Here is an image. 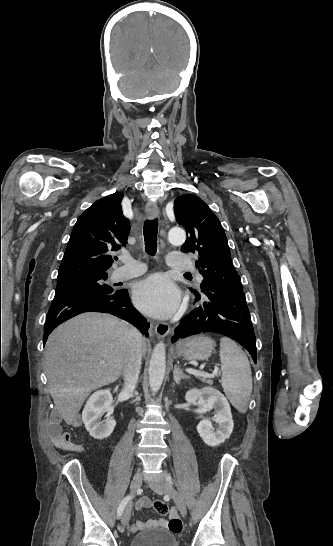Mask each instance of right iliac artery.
I'll list each match as a JSON object with an SVG mask.
<instances>
[{
	"instance_id": "1",
	"label": "right iliac artery",
	"mask_w": 333,
	"mask_h": 546,
	"mask_svg": "<svg viewBox=\"0 0 333 546\" xmlns=\"http://www.w3.org/2000/svg\"><path fill=\"white\" fill-rule=\"evenodd\" d=\"M131 498H132V496L128 495L125 498H123L122 501L120 502L119 507L117 509V516L119 518L123 514V510H124L125 506L127 505V503L131 500Z\"/></svg>"
}]
</instances>
